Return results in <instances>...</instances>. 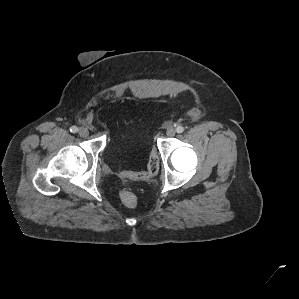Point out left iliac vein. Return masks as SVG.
<instances>
[{
  "label": "left iliac vein",
  "mask_w": 299,
  "mask_h": 299,
  "mask_svg": "<svg viewBox=\"0 0 299 299\" xmlns=\"http://www.w3.org/2000/svg\"><path fill=\"white\" fill-rule=\"evenodd\" d=\"M166 134L168 137H173L176 134V130L174 128H168Z\"/></svg>",
  "instance_id": "left-iliac-vein-1"
}]
</instances>
